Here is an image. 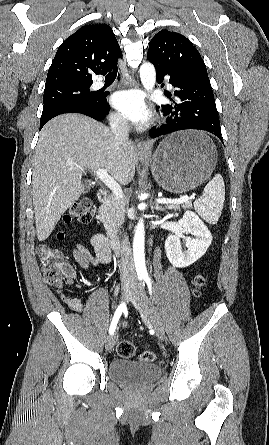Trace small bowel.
<instances>
[{
	"label": "small bowel",
	"instance_id": "c3829d8e",
	"mask_svg": "<svg viewBox=\"0 0 269 445\" xmlns=\"http://www.w3.org/2000/svg\"><path fill=\"white\" fill-rule=\"evenodd\" d=\"M91 244L94 249V253H91L85 246L76 245L72 251V255L75 261L80 265V267L88 271L91 267L97 265L107 264L111 260V251L108 246V241L106 237L102 234H96L91 239ZM66 273L69 281L74 278L73 269L66 265ZM118 293V288L115 289V294ZM68 306L75 312L83 311V304L80 299L71 298L68 300Z\"/></svg>",
	"mask_w": 269,
	"mask_h": 445
}]
</instances>
